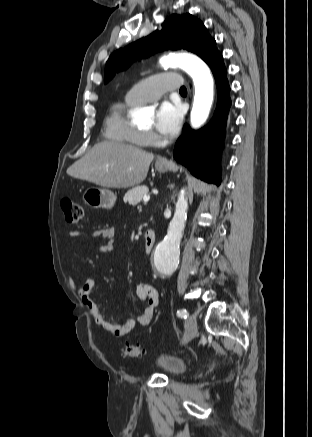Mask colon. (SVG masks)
I'll use <instances>...</instances> for the list:
<instances>
[{
    "mask_svg": "<svg viewBox=\"0 0 312 437\" xmlns=\"http://www.w3.org/2000/svg\"><path fill=\"white\" fill-rule=\"evenodd\" d=\"M61 207L65 220L69 224H76L82 219L84 212L83 207L79 203L71 199H64L61 202ZM141 354L142 351L137 345L127 344L124 346V355L127 357H138L141 356Z\"/></svg>",
    "mask_w": 312,
    "mask_h": 437,
    "instance_id": "5ec220e1",
    "label": "colon"
}]
</instances>
